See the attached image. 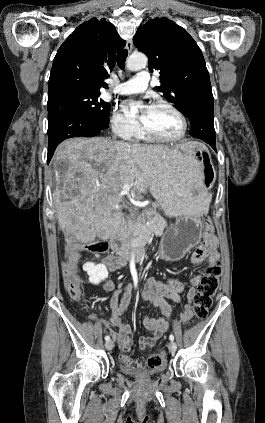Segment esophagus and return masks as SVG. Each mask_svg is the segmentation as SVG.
<instances>
[{
	"label": "esophagus",
	"mask_w": 265,
	"mask_h": 423,
	"mask_svg": "<svg viewBox=\"0 0 265 423\" xmlns=\"http://www.w3.org/2000/svg\"><path fill=\"white\" fill-rule=\"evenodd\" d=\"M132 48H133V43H132V40L131 39H129L128 41H127V43H126V49L128 50V52L130 53L131 51H132Z\"/></svg>",
	"instance_id": "esophagus-1"
}]
</instances>
